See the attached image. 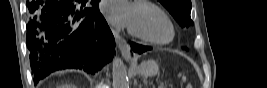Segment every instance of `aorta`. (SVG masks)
<instances>
[{"mask_svg": "<svg viewBox=\"0 0 267 88\" xmlns=\"http://www.w3.org/2000/svg\"><path fill=\"white\" fill-rule=\"evenodd\" d=\"M112 77L114 88H129L127 69L122 59L115 56L112 63Z\"/></svg>", "mask_w": 267, "mask_h": 88, "instance_id": "762f6f07", "label": "aorta"}]
</instances>
